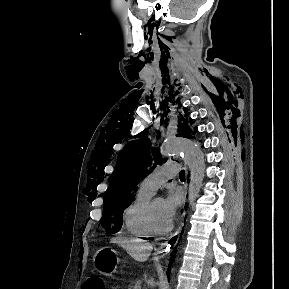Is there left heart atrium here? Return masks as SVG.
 I'll list each match as a JSON object with an SVG mask.
<instances>
[{
    "label": "left heart atrium",
    "mask_w": 289,
    "mask_h": 289,
    "mask_svg": "<svg viewBox=\"0 0 289 289\" xmlns=\"http://www.w3.org/2000/svg\"><path fill=\"white\" fill-rule=\"evenodd\" d=\"M164 213L168 221H172L178 208L183 202V194L178 189H170L163 199Z\"/></svg>",
    "instance_id": "1"
}]
</instances>
